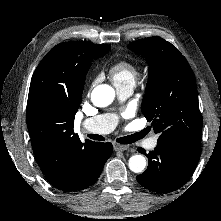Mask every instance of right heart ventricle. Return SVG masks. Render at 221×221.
I'll return each instance as SVG.
<instances>
[{
    "label": "right heart ventricle",
    "instance_id": "obj_1",
    "mask_svg": "<svg viewBox=\"0 0 221 221\" xmlns=\"http://www.w3.org/2000/svg\"><path fill=\"white\" fill-rule=\"evenodd\" d=\"M138 69L132 61L122 59L116 61L109 68V75L116 87L123 85H134Z\"/></svg>",
    "mask_w": 221,
    "mask_h": 221
}]
</instances>
